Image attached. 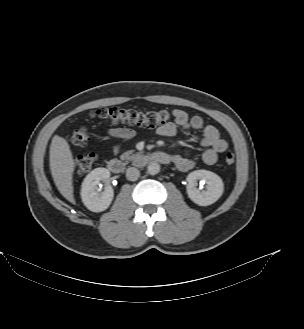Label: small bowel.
<instances>
[{"label":"small bowel","mask_w":304,"mask_h":329,"mask_svg":"<svg viewBox=\"0 0 304 329\" xmlns=\"http://www.w3.org/2000/svg\"><path fill=\"white\" fill-rule=\"evenodd\" d=\"M172 116V121L157 128L156 132L158 135L174 137L179 133L180 129L201 132L202 138L200 144L206 148L202 153V161L206 165L215 164L218 156L227 151V141L220 137L216 127L205 124L201 116H190L183 109H174L172 111ZM108 136L115 141L112 150L114 154H117L122 144L133 138L134 131L127 127H116L108 131ZM172 162L181 171H188L192 169L195 164L189 151L183 154L173 155Z\"/></svg>","instance_id":"small-bowel-1"}]
</instances>
